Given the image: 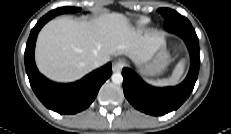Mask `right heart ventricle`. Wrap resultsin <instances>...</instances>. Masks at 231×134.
I'll list each match as a JSON object with an SVG mask.
<instances>
[{
	"mask_svg": "<svg viewBox=\"0 0 231 134\" xmlns=\"http://www.w3.org/2000/svg\"><path fill=\"white\" fill-rule=\"evenodd\" d=\"M148 23V19L147 18H142L138 21V24L139 25H145Z\"/></svg>",
	"mask_w": 231,
	"mask_h": 134,
	"instance_id": "1",
	"label": "right heart ventricle"
}]
</instances>
